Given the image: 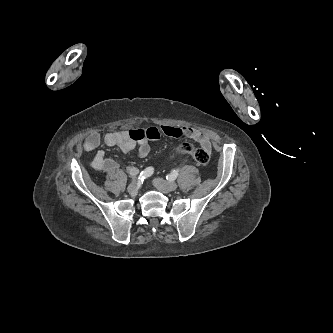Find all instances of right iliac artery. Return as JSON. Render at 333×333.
Here are the masks:
<instances>
[{
    "label": "right iliac artery",
    "mask_w": 333,
    "mask_h": 333,
    "mask_svg": "<svg viewBox=\"0 0 333 333\" xmlns=\"http://www.w3.org/2000/svg\"><path fill=\"white\" fill-rule=\"evenodd\" d=\"M154 172L153 167H148L145 170H143L140 175L138 176V180L143 181L145 178H148L151 176Z\"/></svg>",
    "instance_id": "1"
}]
</instances>
